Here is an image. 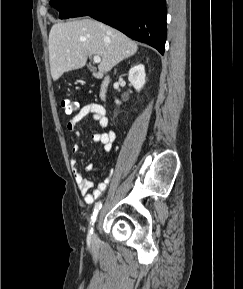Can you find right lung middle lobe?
I'll return each mask as SVG.
<instances>
[{"instance_id": "obj_1", "label": "right lung middle lobe", "mask_w": 243, "mask_h": 289, "mask_svg": "<svg viewBox=\"0 0 243 289\" xmlns=\"http://www.w3.org/2000/svg\"><path fill=\"white\" fill-rule=\"evenodd\" d=\"M87 1L88 0H50V4L60 12L59 17L61 19H66L70 18L71 15Z\"/></svg>"}]
</instances>
